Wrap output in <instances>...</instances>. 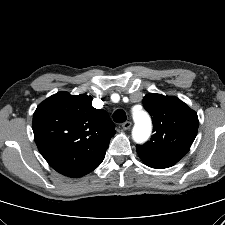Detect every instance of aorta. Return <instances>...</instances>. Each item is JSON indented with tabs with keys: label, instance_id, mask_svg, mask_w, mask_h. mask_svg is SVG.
I'll return each instance as SVG.
<instances>
[{
	"label": "aorta",
	"instance_id": "obj_1",
	"mask_svg": "<svg viewBox=\"0 0 225 225\" xmlns=\"http://www.w3.org/2000/svg\"><path fill=\"white\" fill-rule=\"evenodd\" d=\"M133 119L135 124L132 129V138L137 143H143L149 138L151 134V119L145 111L134 112Z\"/></svg>",
	"mask_w": 225,
	"mask_h": 225
}]
</instances>
